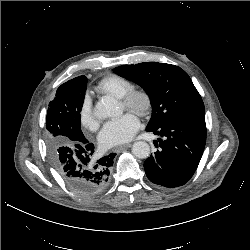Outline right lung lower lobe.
Instances as JSON below:
<instances>
[{
    "mask_svg": "<svg viewBox=\"0 0 250 250\" xmlns=\"http://www.w3.org/2000/svg\"><path fill=\"white\" fill-rule=\"evenodd\" d=\"M94 145L86 138L71 146H60L50 158L66 184L79 196L88 198L101 193L109 183L115 153L98 160L92 157Z\"/></svg>",
    "mask_w": 250,
    "mask_h": 250,
    "instance_id": "1",
    "label": "right lung lower lobe"
}]
</instances>
